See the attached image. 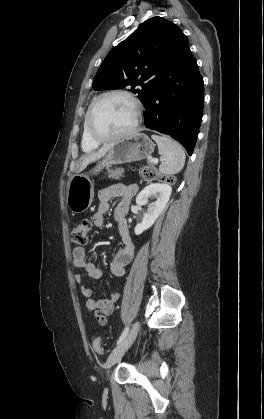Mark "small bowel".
<instances>
[{
  "label": "small bowel",
  "instance_id": "small-bowel-1",
  "mask_svg": "<svg viewBox=\"0 0 264 419\" xmlns=\"http://www.w3.org/2000/svg\"><path fill=\"white\" fill-rule=\"evenodd\" d=\"M136 191L137 186L135 184H118L102 189L99 192L98 210L92 217L94 225L96 227H102L104 225V216L110 207V202L114 199L118 200L114 212V220L118 226L123 247L116 253L110 266L112 274L117 277H123L126 274V268L134 258L135 248L129 234L126 214L131 198ZM73 265L75 268L83 270L93 279H99L103 275L101 268L87 260V251L84 247H76L73 250ZM75 281L80 286L81 292L86 298L87 310L92 313L95 320L101 326L108 325V317L113 312L119 294H112L106 299H95L93 298V290L84 283L81 274L75 275Z\"/></svg>",
  "mask_w": 264,
  "mask_h": 419
}]
</instances>
